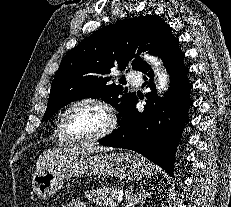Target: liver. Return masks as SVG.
<instances>
[{
    "instance_id": "6515ba94",
    "label": "liver",
    "mask_w": 231,
    "mask_h": 207,
    "mask_svg": "<svg viewBox=\"0 0 231 207\" xmlns=\"http://www.w3.org/2000/svg\"><path fill=\"white\" fill-rule=\"evenodd\" d=\"M111 148L99 146L96 144H85L82 146H71L64 149L48 150L40 156L36 163L38 170L44 167H50L57 159L66 155L84 154V153H97L102 151H109Z\"/></svg>"
}]
</instances>
